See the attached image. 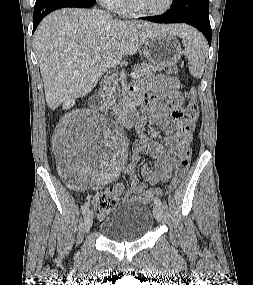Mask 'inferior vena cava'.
<instances>
[{"label": "inferior vena cava", "mask_w": 253, "mask_h": 285, "mask_svg": "<svg viewBox=\"0 0 253 285\" xmlns=\"http://www.w3.org/2000/svg\"><path fill=\"white\" fill-rule=\"evenodd\" d=\"M107 15H108V17H110L111 18V16L107 13Z\"/></svg>", "instance_id": "inferior-vena-cava-1"}]
</instances>
